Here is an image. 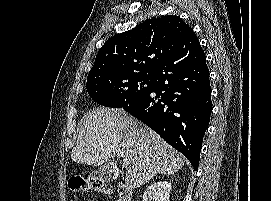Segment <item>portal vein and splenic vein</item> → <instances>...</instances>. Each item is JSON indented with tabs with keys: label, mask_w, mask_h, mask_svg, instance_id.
I'll list each match as a JSON object with an SVG mask.
<instances>
[{
	"label": "portal vein and splenic vein",
	"mask_w": 271,
	"mask_h": 201,
	"mask_svg": "<svg viewBox=\"0 0 271 201\" xmlns=\"http://www.w3.org/2000/svg\"><path fill=\"white\" fill-rule=\"evenodd\" d=\"M123 164L128 166L130 164V159L129 158H124L123 159Z\"/></svg>",
	"instance_id": "18ae733b"
}]
</instances>
